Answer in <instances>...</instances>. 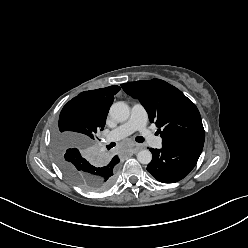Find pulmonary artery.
Masks as SVG:
<instances>
[{
    "label": "pulmonary artery",
    "mask_w": 248,
    "mask_h": 248,
    "mask_svg": "<svg viewBox=\"0 0 248 248\" xmlns=\"http://www.w3.org/2000/svg\"><path fill=\"white\" fill-rule=\"evenodd\" d=\"M148 116L144 107L139 104H133L130 111L129 119L114 128L105 135V140L107 142L119 141L134 131H140L145 139L152 144L155 148L162 147V138L160 136H155L147 127Z\"/></svg>",
    "instance_id": "e3ab8cb5"
}]
</instances>
